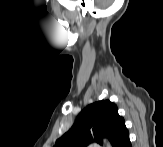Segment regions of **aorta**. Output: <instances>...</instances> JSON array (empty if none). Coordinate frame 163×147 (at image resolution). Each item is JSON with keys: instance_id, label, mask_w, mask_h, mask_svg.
Wrapping results in <instances>:
<instances>
[{"instance_id": "762f6f07", "label": "aorta", "mask_w": 163, "mask_h": 147, "mask_svg": "<svg viewBox=\"0 0 163 147\" xmlns=\"http://www.w3.org/2000/svg\"><path fill=\"white\" fill-rule=\"evenodd\" d=\"M106 145H107V146H110V143H109V142H106Z\"/></svg>"}]
</instances>
